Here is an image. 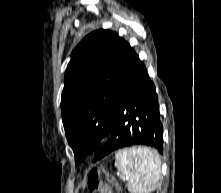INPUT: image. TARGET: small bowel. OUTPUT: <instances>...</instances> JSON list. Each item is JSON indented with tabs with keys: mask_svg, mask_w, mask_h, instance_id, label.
Segmentation results:
<instances>
[{
	"mask_svg": "<svg viewBox=\"0 0 221 193\" xmlns=\"http://www.w3.org/2000/svg\"><path fill=\"white\" fill-rule=\"evenodd\" d=\"M100 193H113L111 187L109 185H102Z\"/></svg>",
	"mask_w": 221,
	"mask_h": 193,
	"instance_id": "obj_1",
	"label": "small bowel"
}]
</instances>
